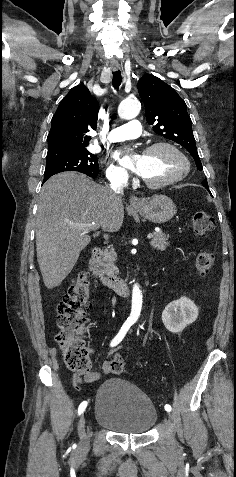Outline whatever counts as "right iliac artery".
Returning <instances> with one entry per match:
<instances>
[{"label": "right iliac artery", "instance_id": "right-iliac-artery-1", "mask_svg": "<svg viewBox=\"0 0 236 477\" xmlns=\"http://www.w3.org/2000/svg\"><path fill=\"white\" fill-rule=\"evenodd\" d=\"M133 324L132 321H126L123 326L121 327L120 331L118 332V334L114 337V339L111 341L110 343V346L113 347V346H116L118 345L122 340L123 338L125 337L126 333L128 332L129 328L131 327V325ZM87 404L88 402L87 401H83L79 407H78V415H81L86 407H87Z\"/></svg>", "mask_w": 236, "mask_h": 477}]
</instances>
